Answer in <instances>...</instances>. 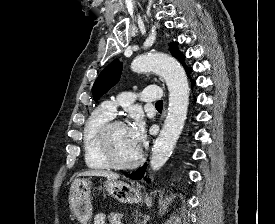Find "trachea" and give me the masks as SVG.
<instances>
[{
	"instance_id": "trachea-1",
	"label": "trachea",
	"mask_w": 275,
	"mask_h": 224,
	"mask_svg": "<svg viewBox=\"0 0 275 224\" xmlns=\"http://www.w3.org/2000/svg\"><path fill=\"white\" fill-rule=\"evenodd\" d=\"M156 107H162L163 106V100H160L158 102H156Z\"/></svg>"
}]
</instances>
